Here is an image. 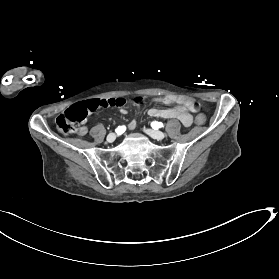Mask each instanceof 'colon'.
I'll return each instance as SVG.
<instances>
[{"instance_id":"colon-1","label":"colon","mask_w":279,"mask_h":279,"mask_svg":"<svg viewBox=\"0 0 279 279\" xmlns=\"http://www.w3.org/2000/svg\"><path fill=\"white\" fill-rule=\"evenodd\" d=\"M177 99L190 111L197 112L200 109L199 102L188 96H180ZM136 101H142V97H137ZM126 104V99L123 97L93 99L85 102H79L68 109L56 118L57 128L66 134L81 132L83 125L93 111L100 107H115ZM198 125H203L206 122V116L203 113H198L195 117Z\"/></svg>"}]
</instances>
